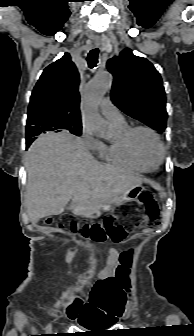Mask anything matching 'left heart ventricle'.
I'll return each instance as SVG.
<instances>
[{
	"instance_id": "1",
	"label": "left heart ventricle",
	"mask_w": 194,
	"mask_h": 336,
	"mask_svg": "<svg viewBox=\"0 0 194 336\" xmlns=\"http://www.w3.org/2000/svg\"><path fill=\"white\" fill-rule=\"evenodd\" d=\"M135 146L139 156L149 165H156L160 160V149L154 137L145 131L135 135Z\"/></svg>"
}]
</instances>
